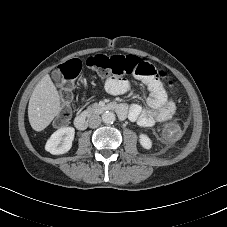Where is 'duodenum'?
<instances>
[{"label": "duodenum", "instance_id": "duodenum-1", "mask_svg": "<svg viewBox=\"0 0 227 227\" xmlns=\"http://www.w3.org/2000/svg\"><path fill=\"white\" fill-rule=\"evenodd\" d=\"M98 111H114L120 118L124 119L127 116V108L122 104L109 103L98 107ZM89 115L81 114L74 120V125L78 130H84L88 127Z\"/></svg>", "mask_w": 227, "mask_h": 227}]
</instances>
